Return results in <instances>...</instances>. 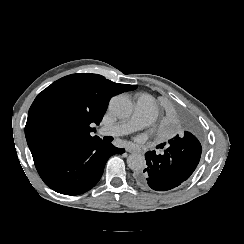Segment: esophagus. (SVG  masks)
<instances>
[{
	"label": "esophagus",
	"instance_id": "1",
	"mask_svg": "<svg viewBox=\"0 0 244 244\" xmlns=\"http://www.w3.org/2000/svg\"><path fill=\"white\" fill-rule=\"evenodd\" d=\"M125 150H126V152H129V153H134V152H136V150H134L131 146H126V147H125Z\"/></svg>",
	"mask_w": 244,
	"mask_h": 244
}]
</instances>
